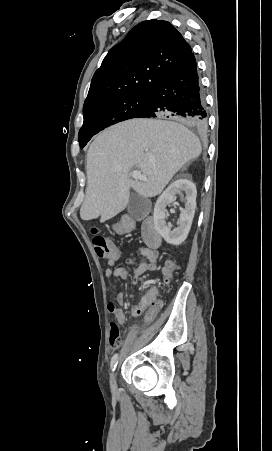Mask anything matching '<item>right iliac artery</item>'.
<instances>
[{"label": "right iliac artery", "instance_id": "right-iliac-artery-1", "mask_svg": "<svg viewBox=\"0 0 272 451\" xmlns=\"http://www.w3.org/2000/svg\"><path fill=\"white\" fill-rule=\"evenodd\" d=\"M118 363V354L113 355L112 359H111V369L112 371H114L116 369Z\"/></svg>", "mask_w": 272, "mask_h": 451}]
</instances>
